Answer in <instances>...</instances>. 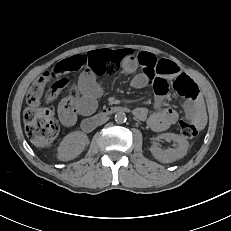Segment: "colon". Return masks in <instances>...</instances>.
Wrapping results in <instances>:
<instances>
[{
  "label": "colon",
  "mask_w": 231,
  "mask_h": 231,
  "mask_svg": "<svg viewBox=\"0 0 231 231\" xmlns=\"http://www.w3.org/2000/svg\"><path fill=\"white\" fill-rule=\"evenodd\" d=\"M68 83L69 79L65 75H60L51 68L29 88L26 96L28 107L24 112V124L27 136L35 146L46 148L54 142L59 126L54 117L53 108L47 103L55 99L59 91ZM170 85L187 99H196L199 96L198 86L184 73L169 81L156 79L155 92L165 95ZM179 131L183 137L191 139L198 135L199 129L195 124L182 119L179 122Z\"/></svg>",
  "instance_id": "1"
}]
</instances>
